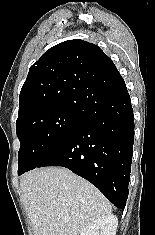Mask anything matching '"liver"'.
Wrapping results in <instances>:
<instances>
[{"mask_svg": "<svg viewBox=\"0 0 155 235\" xmlns=\"http://www.w3.org/2000/svg\"><path fill=\"white\" fill-rule=\"evenodd\" d=\"M20 187L35 235H80L90 223L112 213L97 188L63 167L27 172Z\"/></svg>", "mask_w": 155, "mask_h": 235, "instance_id": "obj_1", "label": "liver"}]
</instances>
